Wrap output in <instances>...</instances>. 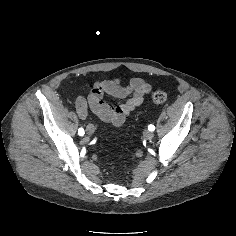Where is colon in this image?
<instances>
[{
    "instance_id": "5ec220e1",
    "label": "colon",
    "mask_w": 236,
    "mask_h": 236,
    "mask_svg": "<svg viewBox=\"0 0 236 236\" xmlns=\"http://www.w3.org/2000/svg\"><path fill=\"white\" fill-rule=\"evenodd\" d=\"M153 101L157 104H162L167 101L168 95L163 91H156L152 97Z\"/></svg>"
}]
</instances>
